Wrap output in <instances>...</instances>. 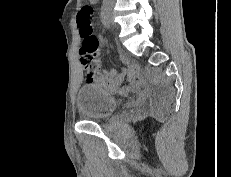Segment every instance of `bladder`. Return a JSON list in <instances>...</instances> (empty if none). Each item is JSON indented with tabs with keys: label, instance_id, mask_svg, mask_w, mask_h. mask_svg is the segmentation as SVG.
<instances>
[{
	"label": "bladder",
	"instance_id": "31cf9c89",
	"mask_svg": "<svg viewBox=\"0 0 231 177\" xmlns=\"http://www.w3.org/2000/svg\"><path fill=\"white\" fill-rule=\"evenodd\" d=\"M76 106L85 119H101L117 107V100L98 86H84L76 96Z\"/></svg>",
	"mask_w": 231,
	"mask_h": 177
}]
</instances>
